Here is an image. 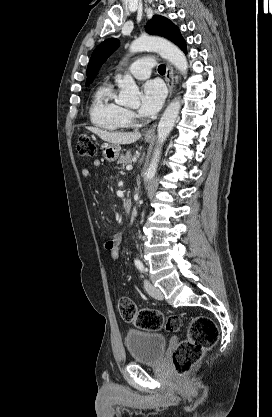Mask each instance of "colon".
Wrapping results in <instances>:
<instances>
[{
	"mask_svg": "<svg viewBox=\"0 0 272 417\" xmlns=\"http://www.w3.org/2000/svg\"><path fill=\"white\" fill-rule=\"evenodd\" d=\"M77 152L81 156L93 157L97 154V147L87 135H81L77 142ZM106 251L113 261H118L121 256V242H110ZM118 311L124 321L143 330L165 329L168 332H175L181 326L178 316L165 317L157 310L138 309L135 302L126 296L119 299ZM218 336V328L212 319L206 316L193 318L188 328L187 338L175 347L172 354L173 364L178 375H186L199 362L204 352L215 345Z\"/></svg>",
	"mask_w": 272,
	"mask_h": 417,
	"instance_id": "obj_1",
	"label": "colon"
}]
</instances>
